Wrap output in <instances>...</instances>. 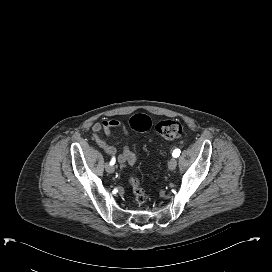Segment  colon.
I'll use <instances>...</instances> for the list:
<instances>
[{
    "label": "colon",
    "mask_w": 272,
    "mask_h": 272,
    "mask_svg": "<svg viewBox=\"0 0 272 272\" xmlns=\"http://www.w3.org/2000/svg\"><path fill=\"white\" fill-rule=\"evenodd\" d=\"M129 125L135 132L143 133L152 127V121L147 115L136 114L130 118ZM155 130L165 139H175L181 136L183 125L178 120L165 119L156 123ZM130 184L132 186L135 204L142 206L146 202L147 195L140 186L137 177L132 176L130 178Z\"/></svg>",
    "instance_id": "colon-1"
}]
</instances>
